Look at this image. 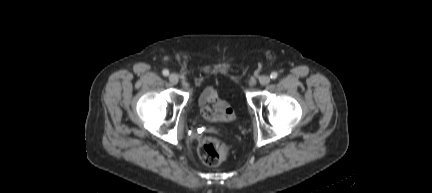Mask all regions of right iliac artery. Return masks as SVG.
<instances>
[{
	"instance_id": "obj_1",
	"label": "right iliac artery",
	"mask_w": 432,
	"mask_h": 193,
	"mask_svg": "<svg viewBox=\"0 0 432 193\" xmlns=\"http://www.w3.org/2000/svg\"><path fill=\"white\" fill-rule=\"evenodd\" d=\"M162 73H163L164 76H168L169 75V71L167 69H164Z\"/></svg>"
}]
</instances>
